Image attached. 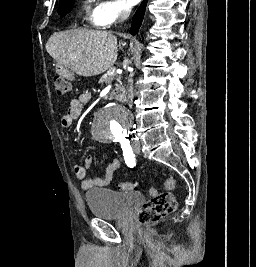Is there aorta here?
<instances>
[{
  "label": "aorta",
  "instance_id": "1",
  "mask_svg": "<svg viewBox=\"0 0 256 267\" xmlns=\"http://www.w3.org/2000/svg\"><path fill=\"white\" fill-rule=\"evenodd\" d=\"M95 127H130L126 108H116L115 104L111 108H101L100 117H93ZM115 133H125V128H92V138H98V143H111L115 138Z\"/></svg>",
  "mask_w": 256,
  "mask_h": 267
}]
</instances>
